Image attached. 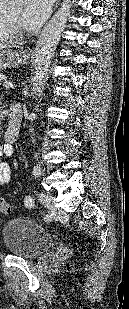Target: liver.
Masks as SVG:
<instances>
[{"label":"liver","instance_id":"liver-1","mask_svg":"<svg viewBox=\"0 0 129 309\" xmlns=\"http://www.w3.org/2000/svg\"><path fill=\"white\" fill-rule=\"evenodd\" d=\"M5 45L0 44V49L5 48Z\"/></svg>","mask_w":129,"mask_h":309}]
</instances>
